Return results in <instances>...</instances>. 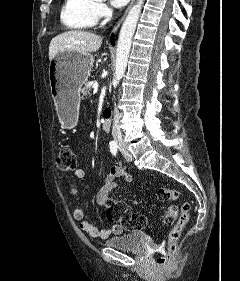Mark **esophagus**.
<instances>
[{
	"label": "esophagus",
	"mask_w": 240,
	"mask_h": 281,
	"mask_svg": "<svg viewBox=\"0 0 240 281\" xmlns=\"http://www.w3.org/2000/svg\"><path fill=\"white\" fill-rule=\"evenodd\" d=\"M135 0H131V3L129 4L128 8L125 10L124 14L122 15V17L118 20V22L116 23V25L113 27L112 33H117L120 25L122 24V22L124 21L126 15L128 14L129 10L131 9V7L133 6Z\"/></svg>",
	"instance_id": "esophagus-1"
}]
</instances>
